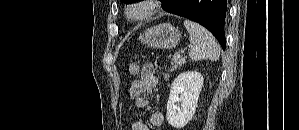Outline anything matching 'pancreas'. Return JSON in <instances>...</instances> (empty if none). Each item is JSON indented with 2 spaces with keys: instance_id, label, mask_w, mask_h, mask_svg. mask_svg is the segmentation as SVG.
Returning a JSON list of instances; mask_svg holds the SVG:
<instances>
[{
  "instance_id": "pancreas-1",
  "label": "pancreas",
  "mask_w": 299,
  "mask_h": 130,
  "mask_svg": "<svg viewBox=\"0 0 299 130\" xmlns=\"http://www.w3.org/2000/svg\"><path fill=\"white\" fill-rule=\"evenodd\" d=\"M185 62H186L185 57H180V56L177 57L173 55L171 59V70H176L177 68L185 64Z\"/></svg>"
}]
</instances>
